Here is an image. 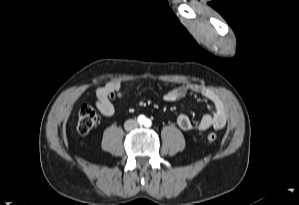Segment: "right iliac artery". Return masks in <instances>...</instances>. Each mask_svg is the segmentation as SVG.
Instances as JSON below:
<instances>
[{"mask_svg": "<svg viewBox=\"0 0 299 205\" xmlns=\"http://www.w3.org/2000/svg\"><path fill=\"white\" fill-rule=\"evenodd\" d=\"M138 122L139 123H144L145 122V117L143 115L138 117Z\"/></svg>", "mask_w": 299, "mask_h": 205, "instance_id": "obj_1", "label": "right iliac artery"}]
</instances>
